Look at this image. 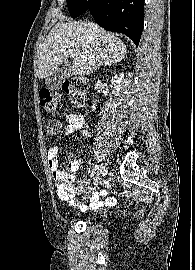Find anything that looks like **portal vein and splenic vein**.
Returning <instances> with one entry per match:
<instances>
[{"mask_svg":"<svg viewBox=\"0 0 195 270\" xmlns=\"http://www.w3.org/2000/svg\"><path fill=\"white\" fill-rule=\"evenodd\" d=\"M70 53H71V55H72L73 57H75V56L78 55V53H77L76 51H74V50H70Z\"/></svg>","mask_w":195,"mask_h":270,"instance_id":"1","label":"portal vein and splenic vein"}]
</instances>
